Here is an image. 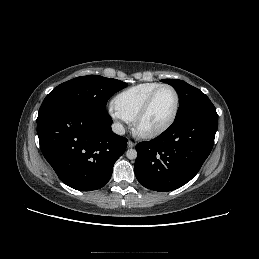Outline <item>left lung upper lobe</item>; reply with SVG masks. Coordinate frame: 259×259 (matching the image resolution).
Wrapping results in <instances>:
<instances>
[{
    "label": "left lung upper lobe",
    "instance_id": "1",
    "mask_svg": "<svg viewBox=\"0 0 259 259\" xmlns=\"http://www.w3.org/2000/svg\"><path fill=\"white\" fill-rule=\"evenodd\" d=\"M172 85L178 93L180 105L175 119L196 113L217 115L216 109L209 98L199 89L177 79H162Z\"/></svg>",
    "mask_w": 259,
    "mask_h": 259
}]
</instances>
